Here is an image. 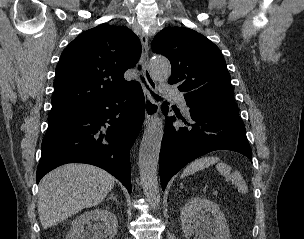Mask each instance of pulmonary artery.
<instances>
[{"mask_svg":"<svg viewBox=\"0 0 304 239\" xmlns=\"http://www.w3.org/2000/svg\"><path fill=\"white\" fill-rule=\"evenodd\" d=\"M161 91L164 95L176 99L180 108L184 112L188 111L187 102L182 92L166 84L162 85Z\"/></svg>","mask_w":304,"mask_h":239,"instance_id":"e3ab8cb5","label":"pulmonary artery"}]
</instances>
